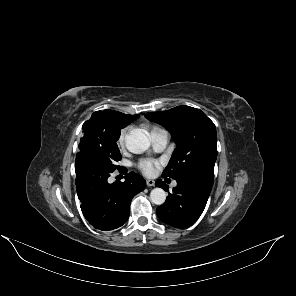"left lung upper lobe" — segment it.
I'll return each instance as SVG.
<instances>
[{
    "mask_svg": "<svg viewBox=\"0 0 296 296\" xmlns=\"http://www.w3.org/2000/svg\"><path fill=\"white\" fill-rule=\"evenodd\" d=\"M146 118L161 124L172 134L177 148L162 177L175 180L194 174L214 176L217 134L214 123L199 109L178 106Z\"/></svg>",
    "mask_w": 296,
    "mask_h": 296,
    "instance_id": "left-lung-upper-lobe-1",
    "label": "left lung upper lobe"
}]
</instances>
